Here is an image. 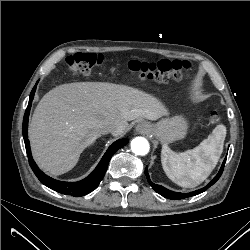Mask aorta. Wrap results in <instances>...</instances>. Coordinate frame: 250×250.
Here are the masks:
<instances>
[{"mask_svg":"<svg viewBox=\"0 0 250 250\" xmlns=\"http://www.w3.org/2000/svg\"><path fill=\"white\" fill-rule=\"evenodd\" d=\"M149 149V142L144 137H136L131 141V150L136 155H146Z\"/></svg>","mask_w":250,"mask_h":250,"instance_id":"762f6f07","label":"aorta"}]
</instances>
